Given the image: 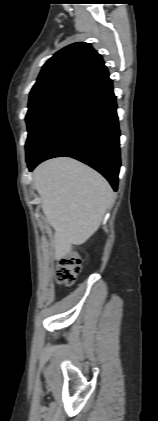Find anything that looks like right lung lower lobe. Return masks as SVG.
Instances as JSON below:
<instances>
[{"label":"right lung lower lobe","instance_id":"obj_1","mask_svg":"<svg viewBox=\"0 0 158 421\" xmlns=\"http://www.w3.org/2000/svg\"><path fill=\"white\" fill-rule=\"evenodd\" d=\"M116 108L105 69L80 85L57 111L27 159L29 170L53 157H72L96 169L117 190L121 161Z\"/></svg>","mask_w":158,"mask_h":421}]
</instances>
